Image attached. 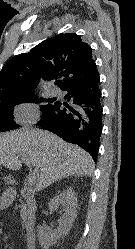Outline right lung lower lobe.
<instances>
[{
    "label": "right lung lower lobe",
    "instance_id": "obj_1",
    "mask_svg": "<svg viewBox=\"0 0 135 249\" xmlns=\"http://www.w3.org/2000/svg\"><path fill=\"white\" fill-rule=\"evenodd\" d=\"M99 83L98 73L90 80L72 84L65 89V98L75 104L74 108L55 102L38 123L42 129L85 149L95 162L103 127Z\"/></svg>",
    "mask_w": 135,
    "mask_h": 249
}]
</instances>
